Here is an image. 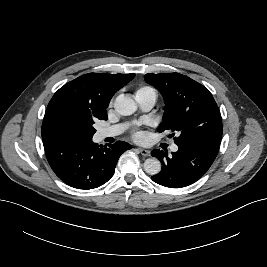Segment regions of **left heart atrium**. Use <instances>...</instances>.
<instances>
[{
	"label": "left heart atrium",
	"mask_w": 267,
	"mask_h": 267,
	"mask_svg": "<svg viewBox=\"0 0 267 267\" xmlns=\"http://www.w3.org/2000/svg\"><path fill=\"white\" fill-rule=\"evenodd\" d=\"M132 137L137 141H143L146 138V133L139 128H134L132 131Z\"/></svg>",
	"instance_id": "39dd6f15"
}]
</instances>
